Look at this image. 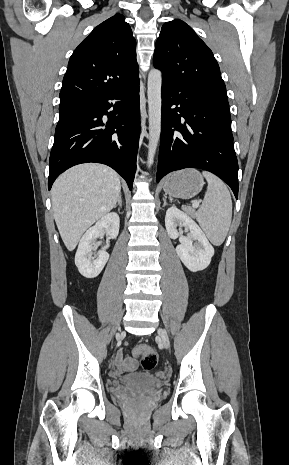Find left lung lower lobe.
I'll return each mask as SVG.
<instances>
[{"label":"left lung lower lobe","instance_id":"1","mask_svg":"<svg viewBox=\"0 0 289 465\" xmlns=\"http://www.w3.org/2000/svg\"><path fill=\"white\" fill-rule=\"evenodd\" d=\"M161 93L157 182L171 171L200 168L224 180L237 199L238 162L227 98L165 81Z\"/></svg>","mask_w":289,"mask_h":465}]
</instances>
